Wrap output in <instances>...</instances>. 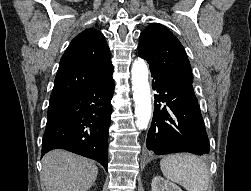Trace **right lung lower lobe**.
<instances>
[{
	"instance_id": "98d812e1",
	"label": "right lung lower lobe",
	"mask_w": 251,
	"mask_h": 191,
	"mask_svg": "<svg viewBox=\"0 0 251 191\" xmlns=\"http://www.w3.org/2000/svg\"><path fill=\"white\" fill-rule=\"evenodd\" d=\"M114 93L112 76L48 107L42 156L53 149L97 160L107 170V141Z\"/></svg>"
}]
</instances>
